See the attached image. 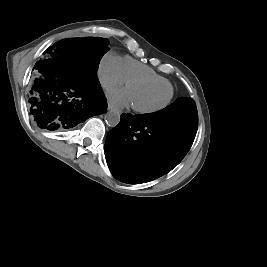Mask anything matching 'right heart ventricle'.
Here are the masks:
<instances>
[{
	"label": "right heart ventricle",
	"mask_w": 267,
	"mask_h": 267,
	"mask_svg": "<svg viewBox=\"0 0 267 267\" xmlns=\"http://www.w3.org/2000/svg\"><path fill=\"white\" fill-rule=\"evenodd\" d=\"M121 66L125 80L132 77H149L164 84H171L165 77L158 74L151 67L144 65L128 56L121 59Z\"/></svg>",
	"instance_id": "e07e8e85"
}]
</instances>
